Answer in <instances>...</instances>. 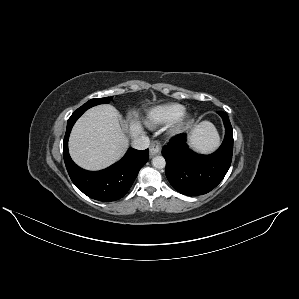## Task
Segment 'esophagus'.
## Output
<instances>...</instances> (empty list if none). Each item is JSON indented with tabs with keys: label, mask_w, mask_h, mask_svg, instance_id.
I'll return each mask as SVG.
<instances>
[{
	"label": "esophagus",
	"mask_w": 299,
	"mask_h": 299,
	"mask_svg": "<svg viewBox=\"0 0 299 299\" xmlns=\"http://www.w3.org/2000/svg\"><path fill=\"white\" fill-rule=\"evenodd\" d=\"M150 156H154L160 153L161 151V144L159 141L155 140L151 143L150 148Z\"/></svg>",
	"instance_id": "1"
}]
</instances>
